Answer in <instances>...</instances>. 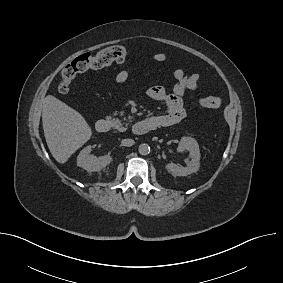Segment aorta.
<instances>
[{"instance_id":"1","label":"aorta","mask_w":283,"mask_h":283,"mask_svg":"<svg viewBox=\"0 0 283 283\" xmlns=\"http://www.w3.org/2000/svg\"><path fill=\"white\" fill-rule=\"evenodd\" d=\"M138 151L141 155H148L150 153V146L146 143L141 144L138 148Z\"/></svg>"}]
</instances>
